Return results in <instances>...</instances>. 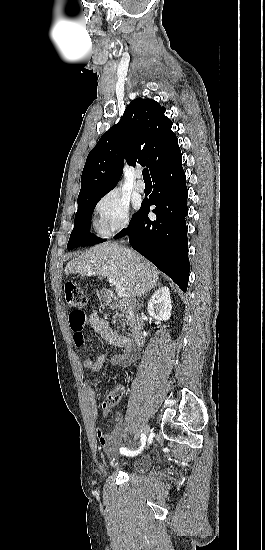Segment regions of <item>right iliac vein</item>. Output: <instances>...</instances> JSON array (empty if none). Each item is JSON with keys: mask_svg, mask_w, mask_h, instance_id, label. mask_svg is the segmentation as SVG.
<instances>
[{"mask_svg": "<svg viewBox=\"0 0 265 550\" xmlns=\"http://www.w3.org/2000/svg\"><path fill=\"white\" fill-rule=\"evenodd\" d=\"M142 432L146 436L149 433V426L144 425L143 428H142Z\"/></svg>", "mask_w": 265, "mask_h": 550, "instance_id": "obj_1", "label": "right iliac vein"}]
</instances>
